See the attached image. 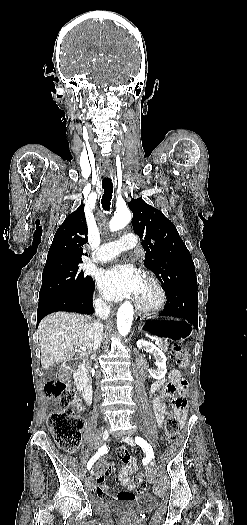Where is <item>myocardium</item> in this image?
Instances as JSON below:
<instances>
[{"mask_svg":"<svg viewBox=\"0 0 247 525\" xmlns=\"http://www.w3.org/2000/svg\"><path fill=\"white\" fill-rule=\"evenodd\" d=\"M142 276L149 279L158 291V298L155 301L145 302L137 299L136 306L144 312H151L158 310L165 302L166 295L165 291L159 281V279L151 272H143Z\"/></svg>","mask_w":247,"mask_h":525,"instance_id":"1","label":"myocardium"}]
</instances>
